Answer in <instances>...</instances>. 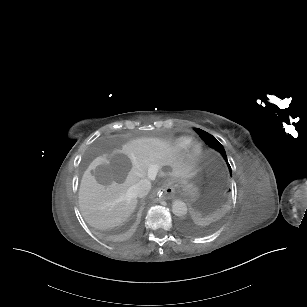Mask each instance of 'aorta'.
<instances>
[{
	"instance_id": "aorta-1",
	"label": "aorta",
	"mask_w": 307,
	"mask_h": 307,
	"mask_svg": "<svg viewBox=\"0 0 307 307\" xmlns=\"http://www.w3.org/2000/svg\"><path fill=\"white\" fill-rule=\"evenodd\" d=\"M188 211L187 205L182 201H175L172 207V212L176 216H184Z\"/></svg>"
}]
</instances>
